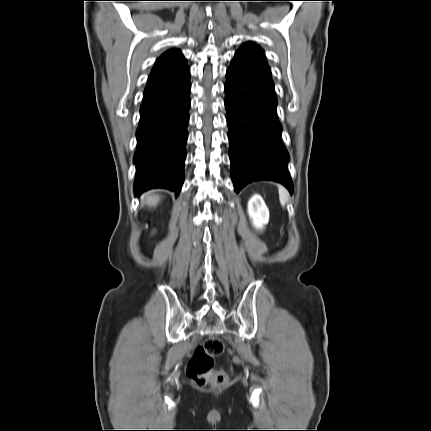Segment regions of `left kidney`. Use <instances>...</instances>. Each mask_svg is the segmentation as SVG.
Returning <instances> with one entry per match:
<instances>
[{"label": "left kidney", "instance_id": "obj_1", "mask_svg": "<svg viewBox=\"0 0 431 431\" xmlns=\"http://www.w3.org/2000/svg\"><path fill=\"white\" fill-rule=\"evenodd\" d=\"M248 215L255 229L261 230L269 221V210L258 194H254L248 201Z\"/></svg>", "mask_w": 431, "mask_h": 431}]
</instances>
